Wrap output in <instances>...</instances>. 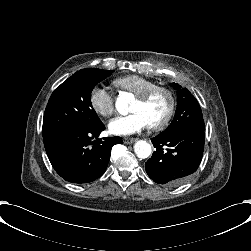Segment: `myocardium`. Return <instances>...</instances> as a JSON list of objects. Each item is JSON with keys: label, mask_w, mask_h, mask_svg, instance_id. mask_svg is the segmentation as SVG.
Wrapping results in <instances>:
<instances>
[{"label": "myocardium", "mask_w": 251, "mask_h": 251, "mask_svg": "<svg viewBox=\"0 0 251 251\" xmlns=\"http://www.w3.org/2000/svg\"><path fill=\"white\" fill-rule=\"evenodd\" d=\"M158 91H165L168 93V95L170 97V106H169V109H168L166 115L161 120L150 124V128L155 129V130L162 129V128L166 127L170 123V121L172 120V118L175 114L176 108H177V96H176L175 91L169 86L155 84L152 87H150L149 89H147L146 91L137 95V99H139L143 102H148L149 100L152 99V97Z\"/></svg>", "instance_id": "myocardium-1"}]
</instances>
